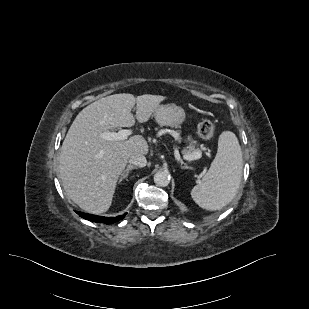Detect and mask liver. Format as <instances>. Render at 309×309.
Listing matches in <instances>:
<instances>
[{
  "label": "liver",
  "instance_id": "obj_1",
  "mask_svg": "<svg viewBox=\"0 0 309 309\" xmlns=\"http://www.w3.org/2000/svg\"><path fill=\"white\" fill-rule=\"evenodd\" d=\"M165 99L161 95L114 94L93 102L76 116L61 147L59 173L66 194L80 208L96 214L106 212L129 158L148 153L141 135L121 141L100 135L133 126L135 104L137 121L147 122Z\"/></svg>",
  "mask_w": 309,
  "mask_h": 309
}]
</instances>
